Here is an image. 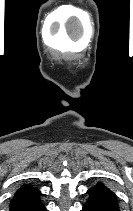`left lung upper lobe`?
Listing matches in <instances>:
<instances>
[{"label":"left lung upper lobe","instance_id":"5c2ea615","mask_svg":"<svg viewBox=\"0 0 133 211\" xmlns=\"http://www.w3.org/2000/svg\"><path fill=\"white\" fill-rule=\"evenodd\" d=\"M97 186L106 187L103 183H98Z\"/></svg>","mask_w":133,"mask_h":211}]
</instances>
